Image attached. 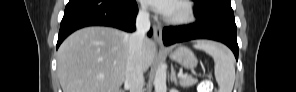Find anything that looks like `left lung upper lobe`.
Returning <instances> with one entry per match:
<instances>
[{
  "label": "left lung upper lobe",
  "mask_w": 296,
  "mask_h": 92,
  "mask_svg": "<svg viewBox=\"0 0 296 92\" xmlns=\"http://www.w3.org/2000/svg\"><path fill=\"white\" fill-rule=\"evenodd\" d=\"M195 11L203 21H208L217 10H232L230 0H193Z\"/></svg>",
  "instance_id": "obj_1"
}]
</instances>
